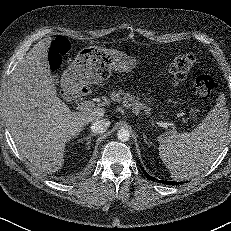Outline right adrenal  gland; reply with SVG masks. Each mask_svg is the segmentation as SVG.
I'll return each instance as SVG.
<instances>
[{
	"label": "right adrenal gland",
	"instance_id": "1",
	"mask_svg": "<svg viewBox=\"0 0 231 231\" xmlns=\"http://www.w3.org/2000/svg\"><path fill=\"white\" fill-rule=\"evenodd\" d=\"M92 136H95V134H93V133H91L89 136H87V137H84L82 140H86L87 142H86V145H87V149L89 150V148H90V143H91V137Z\"/></svg>",
	"mask_w": 231,
	"mask_h": 231
}]
</instances>
